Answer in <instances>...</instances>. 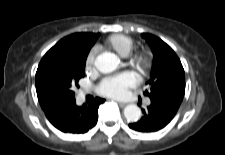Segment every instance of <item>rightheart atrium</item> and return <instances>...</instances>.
Instances as JSON below:
<instances>
[{
  "label": "right heart atrium",
  "instance_id": "obj_1",
  "mask_svg": "<svg viewBox=\"0 0 225 155\" xmlns=\"http://www.w3.org/2000/svg\"><path fill=\"white\" fill-rule=\"evenodd\" d=\"M94 58H95V53L92 51L89 53V55L87 56V59H86V68L87 69L92 68V66L94 64Z\"/></svg>",
  "mask_w": 225,
  "mask_h": 155
}]
</instances>
